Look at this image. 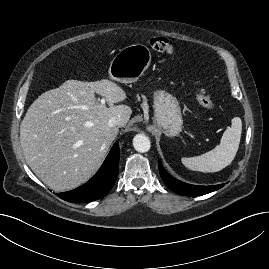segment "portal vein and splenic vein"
Instances as JSON below:
<instances>
[{
    "mask_svg": "<svg viewBox=\"0 0 269 269\" xmlns=\"http://www.w3.org/2000/svg\"><path fill=\"white\" fill-rule=\"evenodd\" d=\"M105 102H106L105 98H102L100 101L101 104H105Z\"/></svg>",
    "mask_w": 269,
    "mask_h": 269,
    "instance_id": "1",
    "label": "portal vein and splenic vein"
}]
</instances>
